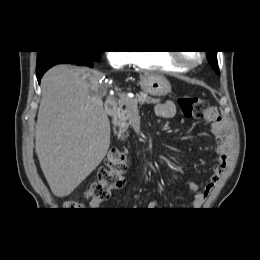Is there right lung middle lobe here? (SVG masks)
<instances>
[{
	"mask_svg": "<svg viewBox=\"0 0 260 260\" xmlns=\"http://www.w3.org/2000/svg\"><path fill=\"white\" fill-rule=\"evenodd\" d=\"M64 57L99 61L101 54L100 51H39L36 69L39 70L49 63Z\"/></svg>",
	"mask_w": 260,
	"mask_h": 260,
	"instance_id": "1",
	"label": "right lung middle lobe"
}]
</instances>
